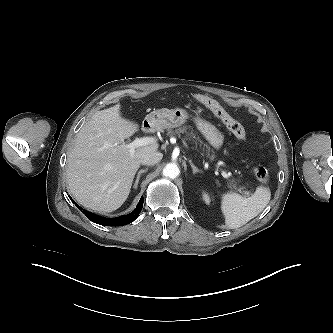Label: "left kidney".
Wrapping results in <instances>:
<instances>
[{"mask_svg":"<svg viewBox=\"0 0 333 333\" xmlns=\"http://www.w3.org/2000/svg\"><path fill=\"white\" fill-rule=\"evenodd\" d=\"M203 200L205 201L206 204L210 203V197L207 193H203Z\"/></svg>","mask_w":333,"mask_h":333,"instance_id":"obj_1","label":"left kidney"}]
</instances>
